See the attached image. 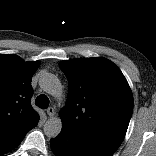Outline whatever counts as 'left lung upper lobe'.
Returning a JSON list of instances; mask_svg holds the SVG:
<instances>
[{
    "instance_id": "left-lung-upper-lobe-1",
    "label": "left lung upper lobe",
    "mask_w": 156,
    "mask_h": 156,
    "mask_svg": "<svg viewBox=\"0 0 156 156\" xmlns=\"http://www.w3.org/2000/svg\"><path fill=\"white\" fill-rule=\"evenodd\" d=\"M59 66L68 79L62 130L116 151L133 111L132 92L120 69L105 58L73 59Z\"/></svg>"
}]
</instances>
